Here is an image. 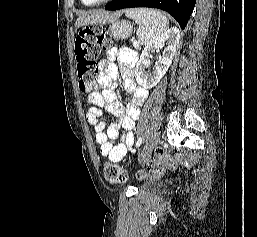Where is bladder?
Here are the masks:
<instances>
[{
	"instance_id": "1",
	"label": "bladder",
	"mask_w": 257,
	"mask_h": 237,
	"mask_svg": "<svg viewBox=\"0 0 257 237\" xmlns=\"http://www.w3.org/2000/svg\"><path fill=\"white\" fill-rule=\"evenodd\" d=\"M141 188L147 191H156L157 183L153 180H147L142 184Z\"/></svg>"
}]
</instances>
